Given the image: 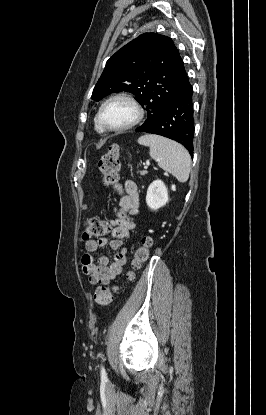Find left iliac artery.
Returning a JSON list of instances; mask_svg holds the SVG:
<instances>
[{
  "mask_svg": "<svg viewBox=\"0 0 266 415\" xmlns=\"http://www.w3.org/2000/svg\"><path fill=\"white\" fill-rule=\"evenodd\" d=\"M101 373H102V375H105V369H104V367L101 368Z\"/></svg>",
  "mask_w": 266,
  "mask_h": 415,
  "instance_id": "left-iliac-artery-1",
  "label": "left iliac artery"
}]
</instances>
